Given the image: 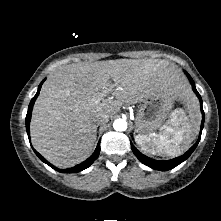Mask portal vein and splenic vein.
I'll list each match as a JSON object with an SVG mask.
<instances>
[{"label": "portal vein and splenic vein", "mask_w": 221, "mask_h": 221, "mask_svg": "<svg viewBox=\"0 0 221 221\" xmlns=\"http://www.w3.org/2000/svg\"><path fill=\"white\" fill-rule=\"evenodd\" d=\"M107 92H108V90L105 89L104 92L102 93V96H103L105 93H107Z\"/></svg>", "instance_id": "18ae733b"}]
</instances>
